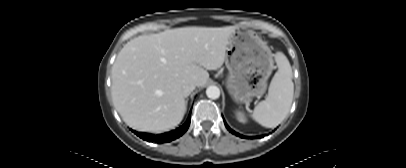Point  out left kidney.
<instances>
[{"mask_svg":"<svg viewBox=\"0 0 406 168\" xmlns=\"http://www.w3.org/2000/svg\"><path fill=\"white\" fill-rule=\"evenodd\" d=\"M236 116H237V118H238V120H239L240 122H245V121H246V119H245L243 113H241V112L238 111V112H236Z\"/></svg>","mask_w":406,"mask_h":168,"instance_id":"5707ae66","label":"left kidney"}]
</instances>
